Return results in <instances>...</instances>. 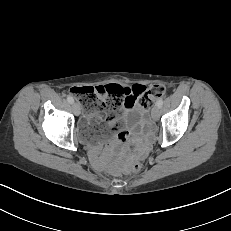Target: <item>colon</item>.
<instances>
[{"mask_svg":"<svg viewBox=\"0 0 231 231\" xmlns=\"http://www.w3.org/2000/svg\"><path fill=\"white\" fill-rule=\"evenodd\" d=\"M131 89L134 93L132 96L128 94L129 91L126 87L118 84L96 87L75 86L70 89V92L87 112L103 110L106 113V116L103 119H105L107 115L117 111L122 105H125L126 100L128 107H132L134 102L138 101L142 108L149 110L153 105L154 99L164 95L166 92L165 87L160 84H154L149 88L137 84ZM110 122L112 123L113 132L120 130L122 126V121L120 119L113 118ZM127 137L128 134L125 131H120L118 133V138L122 141L126 140ZM141 169L142 164L138 161L134 162L131 166L133 172H139Z\"/></svg>","mask_w":231,"mask_h":231,"instance_id":"obj_1","label":"colon"}]
</instances>
